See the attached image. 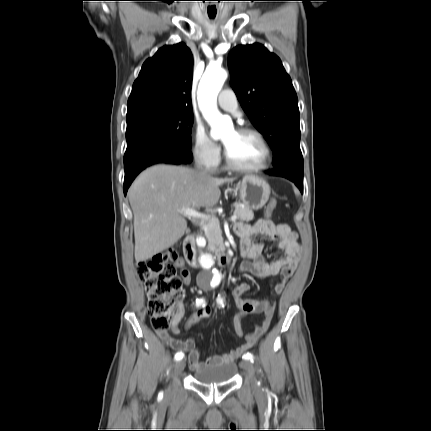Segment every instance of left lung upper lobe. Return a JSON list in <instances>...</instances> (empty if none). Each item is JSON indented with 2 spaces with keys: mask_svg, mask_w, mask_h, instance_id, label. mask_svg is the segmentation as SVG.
Here are the masks:
<instances>
[{
  "mask_svg": "<svg viewBox=\"0 0 431 431\" xmlns=\"http://www.w3.org/2000/svg\"><path fill=\"white\" fill-rule=\"evenodd\" d=\"M231 86L251 122L274 152L273 165L303 164L298 99L281 60L259 43L229 54Z\"/></svg>",
  "mask_w": 431,
  "mask_h": 431,
  "instance_id": "obj_1",
  "label": "left lung upper lobe"
}]
</instances>
